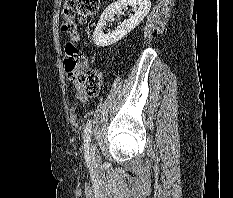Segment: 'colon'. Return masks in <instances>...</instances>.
<instances>
[{
	"label": "colon",
	"mask_w": 233,
	"mask_h": 198,
	"mask_svg": "<svg viewBox=\"0 0 233 198\" xmlns=\"http://www.w3.org/2000/svg\"><path fill=\"white\" fill-rule=\"evenodd\" d=\"M99 6V0H66L62 9V31L72 40H76L79 29L76 15L79 16L80 21H86L98 12ZM65 52V70L74 87L87 95L98 93L104 80L103 73L83 64L82 56L72 42L67 43Z\"/></svg>",
	"instance_id": "5ec220e1"
}]
</instances>
